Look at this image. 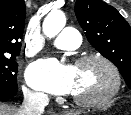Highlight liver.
Listing matches in <instances>:
<instances>
[{
	"mask_svg": "<svg viewBox=\"0 0 131 115\" xmlns=\"http://www.w3.org/2000/svg\"><path fill=\"white\" fill-rule=\"evenodd\" d=\"M0 115H19V110L0 103Z\"/></svg>",
	"mask_w": 131,
	"mask_h": 115,
	"instance_id": "1",
	"label": "liver"
}]
</instances>
